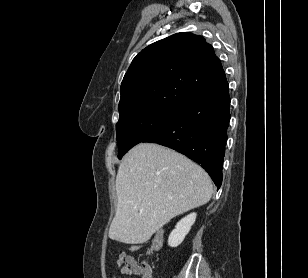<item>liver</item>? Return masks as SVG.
I'll return each mask as SVG.
<instances>
[{
	"instance_id": "1",
	"label": "liver",
	"mask_w": 308,
	"mask_h": 278,
	"mask_svg": "<svg viewBox=\"0 0 308 278\" xmlns=\"http://www.w3.org/2000/svg\"><path fill=\"white\" fill-rule=\"evenodd\" d=\"M209 175L186 156L140 143L123 157L116 176L117 209L109 238L140 244L173 217L211 199Z\"/></svg>"
}]
</instances>
